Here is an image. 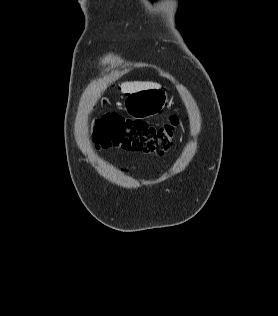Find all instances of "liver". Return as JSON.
<instances>
[{
  "label": "liver",
  "instance_id": "obj_1",
  "mask_svg": "<svg viewBox=\"0 0 278 316\" xmlns=\"http://www.w3.org/2000/svg\"><path fill=\"white\" fill-rule=\"evenodd\" d=\"M161 86L157 83L153 82H124L121 84V91L122 93H133L136 91H140L143 89H150V88H160Z\"/></svg>",
  "mask_w": 278,
  "mask_h": 316
}]
</instances>
